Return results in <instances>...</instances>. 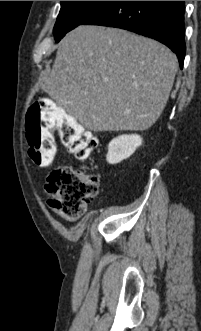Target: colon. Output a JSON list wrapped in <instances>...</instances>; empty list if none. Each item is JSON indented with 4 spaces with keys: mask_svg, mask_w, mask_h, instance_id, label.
Segmentation results:
<instances>
[{
    "mask_svg": "<svg viewBox=\"0 0 201 331\" xmlns=\"http://www.w3.org/2000/svg\"><path fill=\"white\" fill-rule=\"evenodd\" d=\"M54 130L62 144L78 159L87 158L97 146V140L72 116L53 101L41 99L30 106L26 116L28 154L39 166H48L54 161ZM99 186L96 174L72 167L55 168L45 186L51 196L48 205L63 218L77 220L86 212Z\"/></svg>",
    "mask_w": 201,
    "mask_h": 331,
    "instance_id": "obj_1",
    "label": "colon"
}]
</instances>
